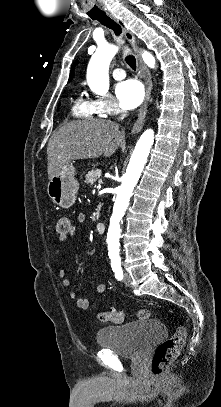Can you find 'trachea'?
Instances as JSON below:
<instances>
[{
	"instance_id": "3493384b",
	"label": "trachea",
	"mask_w": 221,
	"mask_h": 407,
	"mask_svg": "<svg viewBox=\"0 0 221 407\" xmlns=\"http://www.w3.org/2000/svg\"><path fill=\"white\" fill-rule=\"evenodd\" d=\"M91 19L97 20L102 25L113 30L115 35H117V36H119L122 33L121 27L112 18H110L108 15H106V13H102L97 16H93V17H91ZM125 61L133 70H136V59L133 55H130V54L127 55L125 57Z\"/></svg>"
}]
</instances>
